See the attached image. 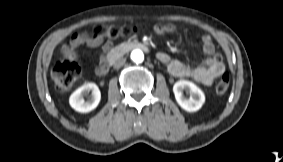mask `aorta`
Wrapping results in <instances>:
<instances>
[{
	"mask_svg": "<svg viewBox=\"0 0 283 162\" xmlns=\"http://www.w3.org/2000/svg\"><path fill=\"white\" fill-rule=\"evenodd\" d=\"M131 60L135 63H141L144 60V54L141 50L135 49L131 52Z\"/></svg>",
	"mask_w": 283,
	"mask_h": 162,
	"instance_id": "obj_1",
	"label": "aorta"
}]
</instances>
